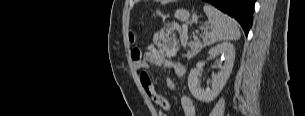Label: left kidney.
<instances>
[{"instance_id": "obj_1", "label": "left kidney", "mask_w": 305, "mask_h": 116, "mask_svg": "<svg viewBox=\"0 0 305 116\" xmlns=\"http://www.w3.org/2000/svg\"><path fill=\"white\" fill-rule=\"evenodd\" d=\"M221 54L224 58V65L217 74L212 75V87L202 89L198 84V77L200 75V69L194 68L190 71L188 77V87L193 95L199 101L209 103L213 101L225 86L233 68L235 60V48L234 45L229 42H223L209 50V56Z\"/></svg>"}]
</instances>
